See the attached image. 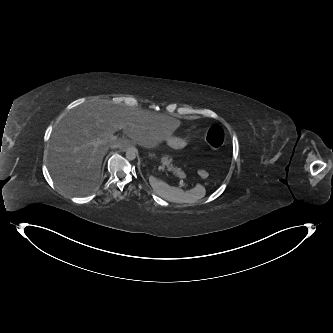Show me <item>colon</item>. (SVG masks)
<instances>
[{"label":"colon","instance_id":"obj_1","mask_svg":"<svg viewBox=\"0 0 333 333\" xmlns=\"http://www.w3.org/2000/svg\"><path fill=\"white\" fill-rule=\"evenodd\" d=\"M204 138L209 146H211L213 149H218L224 142V131L219 125H212L206 128L204 132ZM198 175L201 178H204L206 177L207 172L205 170H199Z\"/></svg>","mask_w":333,"mask_h":333}]
</instances>
